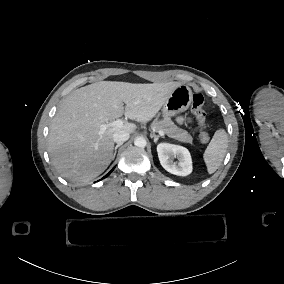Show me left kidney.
Segmentation results:
<instances>
[{
	"instance_id": "5707ae66",
	"label": "left kidney",
	"mask_w": 284,
	"mask_h": 284,
	"mask_svg": "<svg viewBox=\"0 0 284 284\" xmlns=\"http://www.w3.org/2000/svg\"><path fill=\"white\" fill-rule=\"evenodd\" d=\"M157 152L160 163L166 171L178 176H186L191 173V157L186 148L161 143L157 146ZM174 159H177L175 163Z\"/></svg>"
}]
</instances>
